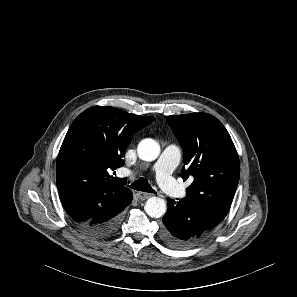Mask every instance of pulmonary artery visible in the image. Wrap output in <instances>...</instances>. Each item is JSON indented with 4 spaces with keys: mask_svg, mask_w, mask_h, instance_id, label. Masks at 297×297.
Segmentation results:
<instances>
[{
    "mask_svg": "<svg viewBox=\"0 0 297 297\" xmlns=\"http://www.w3.org/2000/svg\"><path fill=\"white\" fill-rule=\"evenodd\" d=\"M180 158L181 149L175 144H170L163 149L153 169L160 188L173 197L182 198L186 192L171 176Z\"/></svg>",
    "mask_w": 297,
    "mask_h": 297,
    "instance_id": "pulmonary-artery-1",
    "label": "pulmonary artery"
}]
</instances>
